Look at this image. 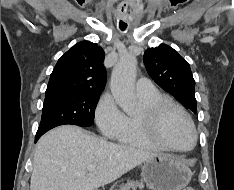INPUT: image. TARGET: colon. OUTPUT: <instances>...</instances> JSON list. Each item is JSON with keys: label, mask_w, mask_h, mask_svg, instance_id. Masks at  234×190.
<instances>
[{"label": "colon", "mask_w": 234, "mask_h": 190, "mask_svg": "<svg viewBox=\"0 0 234 190\" xmlns=\"http://www.w3.org/2000/svg\"><path fill=\"white\" fill-rule=\"evenodd\" d=\"M184 190H195V189L192 187H188V188H185Z\"/></svg>", "instance_id": "5ec220e1"}]
</instances>
